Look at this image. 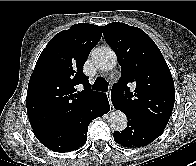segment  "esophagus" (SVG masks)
<instances>
[{
	"label": "esophagus",
	"mask_w": 196,
	"mask_h": 166,
	"mask_svg": "<svg viewBox=\"0 0 196 166\" xmlns=\"http://www.w3.org/2000/svg\"><path fill=\"white\" fill-rule=\"evenodd\" d=\"M107 96H108V100H109L110 106L113 107L112 101H111V91L107 92Z\"/></svg>",
	"instance_id": "obj_1"
}]
</instances>
